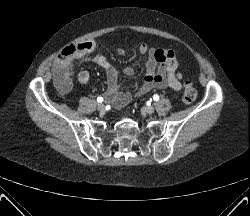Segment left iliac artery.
<instances>
[{
    "label": "left iliac artery",
    "mask_w": 250,
    "mask_h": 216,
    "mask_svg": "<svg viewBox=\"0 0 250 216\" xmlns=\"http://www.w3.org/2000/svg\"><path fill=\"white\" fill-rule=\"evenodd\" d=\"M153 99H154L155 101H158V100H159V96H158L157 94H155V95L153 96Z\"/></svg>",
    "instance_id": "1"
}]
</instances>
